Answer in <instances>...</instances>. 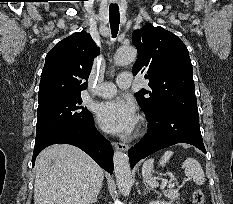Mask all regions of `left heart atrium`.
<instances>
[{
  "label": "left heart atrium",
  "mask_w": 233,
  "mask_h": 204,
  "mask_svg": "<svg viewBox=\"0 0 233 204\" xmlns=\"http://www.w3.org/2000/svg\"><path fill=\"white\" fill-rule=\"evenodd\" d=\"M100 127L113 134H128L136 123V109L133 103L122 99L102 102L96 109Z\"/></svg>",
  "instance_id": "left-heart-atrium-1"
}]
</instances>
